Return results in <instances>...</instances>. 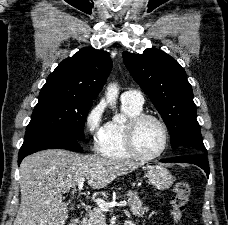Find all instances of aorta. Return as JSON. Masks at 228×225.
Returning <instances> with one entry per match:
<instances>
[{"label":"aorta","mask_w":228,"mask_h":225,"mask_svg":"<svg viewBox=\"0 0 228 225\" xmlns=\"http://www.w3.org/2000/svg\"><path fill=\"white\" fill-rule=\"evenodd\" d=\"M105 94L106 100L109 102L111 108H115L114 104H116L117 96L119 94L118 84H115V82L108 84ZM113 121L114 123H126L127 117H125V115H115Z\"/></svg>","instance_id":"aorta-1"}]
</instances>
